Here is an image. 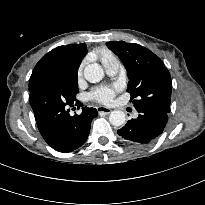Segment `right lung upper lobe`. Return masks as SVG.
I'll return each mask as SVG.
<instances>
[{
    "mask_svg": "<svg viewBox=\"0 0 205 205\" xmlns=\"http://www.w3.org/2000/svg\"><path fill=\"white\" fill-rule=\"evenodd\" d=\"M86 53L85 44H70L51 50L36 64L29 80V91L53 77H67L78 72L81 59Z\"/></svg>",
    "mask_w": 205,
    "mask_h": 205,
    "instance_id": "1",
    "label": "right lung upper lobe"
}]
</instances>
